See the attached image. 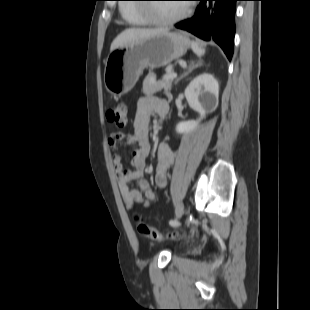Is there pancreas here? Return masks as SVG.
I'll use <instances>...</instances> for the list:
<instances>
[{
    "label": "pancreas",
    "instance_id": "obj_1",
    "mask_svg": "<svg viewBox=\"0 0 310 310\" xmlns=\"http://www.w3.org/2000/svg\"><path fill=\"white\" fill-rule=\"evenodd\" d=\"M173 80H166L165 77L161 81H156L154 72H149L143 81V93L146 95L154 94L161 91H170Z\"/></svg>",
    "mask_w": 310,
    "mask_h": 310
}]
</instances>
